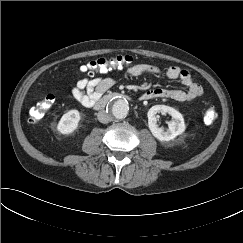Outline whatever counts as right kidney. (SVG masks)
Segmentation results:
<instances>
[{"instance_id":"right-kidney-1","label":"right kidney","mask_w":243,"mask_h":243,"mask_svg":"<svg viewBox=\"0 0 243 243\" xmlns=\"http://www.w3.org/2000/svg\"><path fill=\"white\" fill-rule=\"evenodd\" d=\"M80 121V113L78 110H69L67 113H65L58 125L57 130L61 134H70L78 127V123Z\"/></svg>"}]
</instances>
